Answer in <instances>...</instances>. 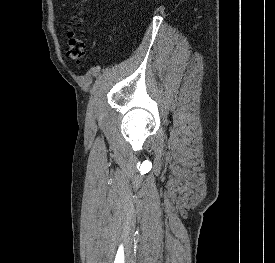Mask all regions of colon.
Listing matches in <instances>:
<instances>
[{"instance_id": "5ec220e1", "label": "colon", "mask_w": 275, "mask_h": 263, "mask_svg": "<svg viewBox=\"0 0 275 263\" xmlns=\"http://www.w3.org/2000/svg\"><path fill=\"white\" fill-rule=\"evenodd\" d=\"M86 54V43L80 34L76 24L69 26L67 58L76 65H82Z\"/></svg>"}]
</instances>
